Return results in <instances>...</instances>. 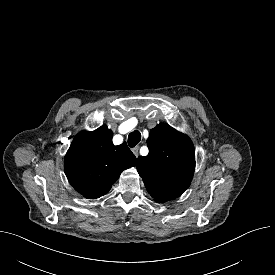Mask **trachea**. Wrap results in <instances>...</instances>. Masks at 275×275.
Listing matches in <instances>:
<instances>
[{"mask_svg":"<svg viewBox=\"0 0 275 275\" xmlns=\"http://www.w3.org/2000/svg\"><path fill=\"white\" fill-rule=\"evenodd\" d=\"M141 140V133L137 130L131 132L128 136V145L135 147Z\"/></svg>","mask_w":275,"mask_h":275,"instance_id":"obj_1","label":"trachea"}]
</instances>
